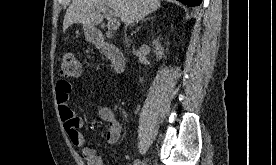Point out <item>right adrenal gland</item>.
<instances>
[{"label":"right adrenal gland","instance_id":"right-adrenal-gland-1","mask_svg":"<svg viewBox=\"0 0 276 165\" xmlns=\"http://www.w3.org/2000/svg\"><path fill=\"white\" fill-rule=\"evenodd\" d=\"M148 19H149V18L143 19L142 22H144V21H146V20H148Z\"/></svg>","mask_w":276,"mask_h":165}]
</instances>
